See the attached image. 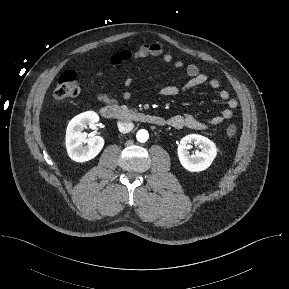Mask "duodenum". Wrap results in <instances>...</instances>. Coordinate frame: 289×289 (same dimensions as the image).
<instances>
[{"mask_svg": "<svg viewBox=\"0 0 289 289\" xmlns=\"http://www.w3.org/2000/svg\"><path fill=\"white\" fill-rule=\"evenodd\" d=\"M100 114L105 119L128 120L163 126L166 121L163 117L142 112L131 111L115 104L105 105L100 109Z\"/></svg>", "mask_w": 289, "mask_h": 289, "instance_id": "1", "label": "duodenum"}]
</instances>
